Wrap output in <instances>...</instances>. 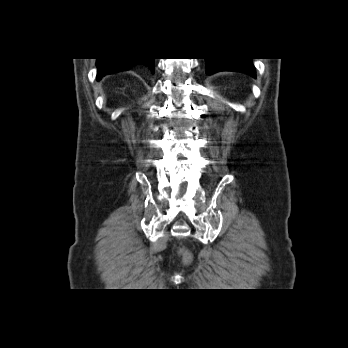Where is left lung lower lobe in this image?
I'll list each match as a JSON object with an SVG mask.
<instances>
[{
	"mask_svg": "<svg viewBox=\"0 0 348 348\" xmlns=\"http://www.w3.org/2000/svg\"><path fill=\"white\" fill-rule=\"evenodd\" d=\"M207 74L219 71L244 72L255 77V69L250 58H206Z\"/></svg>",
	"mask_w": 348,
	"mask_h": 348,
	"instance_id": "0a47b994",
	"label": "left lung lower lobe"
}]
</instances>
